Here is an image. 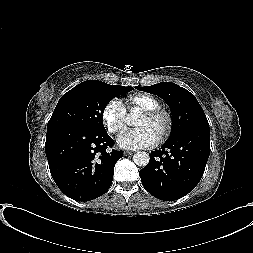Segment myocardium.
Instances as JSON below:
<instances>
[{
    "mask_svg": "<svg viewBox=\"0 0 253 253\" xmlns=\"http://www.w3.org/2000/svg\"><path fill=\"white\" fill-rule=\"evenodd\" d=\"M142 115H145L150 119L162 122L161 131L158 136V140L160 142L164 141L169 137L173 128V118L169 111L162 108H156L151 110H145L142 112Z\"/></svg>",
    "mask_w": 253,
    "mask_h": 253,
    "instance_id": "myocardium-1",
    "label": "myocardium"
}]
</instances>
